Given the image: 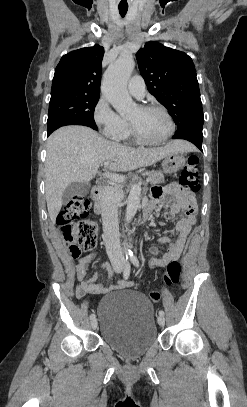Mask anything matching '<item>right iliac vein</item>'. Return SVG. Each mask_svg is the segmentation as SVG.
<instances>
[{"label":"right iliac vein","instance_id":"right-iliac-vein-1","mask_svg":"<svg viewBox=\"0 0 247 407\" xmlns=\"http://www.w3.org/2000/svg\"><path fill=\"white\" fill-rule=\"evenodd\" d=\"M114 270H115L117 273H119V272L122 270V266H121V265H116V266L114 267ZM97 325H98L97 320H96V319H93V320L91 321V327H92L93 329H96V328H97Z\"/></svg>","mask_w":247,"mask_h":407}]
</instances>
